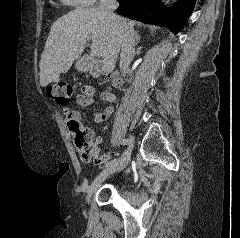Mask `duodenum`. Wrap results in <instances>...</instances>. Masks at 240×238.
<instances>
[{
    "mask_svg": "<svg viewBox=\"0 0 240 238\" xmlns=\"http://www.w3.org/2000/svg\"><path fill=\"white\" fill-rule=\"evenodd\" d=\"M85 68H86L87 72L93 76H99L101 74L100 65L93 58L85 59Z\"/></svg>",
    "mask_w": 240,
    "mask_h": 238,
    "instance_id": "1",
    "label": "duodenum"
}]
</instances>
